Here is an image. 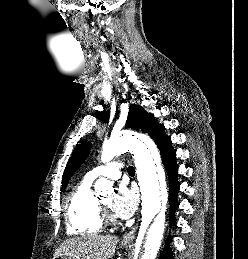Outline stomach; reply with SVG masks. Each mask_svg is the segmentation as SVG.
I'll use <instances>...</instances> for the list:
<instances>
[{
	"label": "stomach",
	"instance_id": "1",
	"mask_svg": "<svg viewBox=\"0 0 248 259\" xmlns=\"http://www.w3.org/2000/svg\"><path fill=\"white\" fill-rule=\"evenodd\" d=\"M124 247L127 248V246H124ZM55 259H78V258L76 256L61 254L59 256H56Z\"/></svg>",
	"mask_w": 248,
	"mask_h": 259
}]
</instances>
